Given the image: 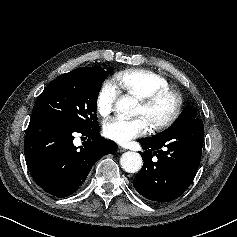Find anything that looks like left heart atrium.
I'll use <instances>...</instances> for the list:
<instances>
[{
  "label": "left heart atrium",
  "instance_id": "39dd6f15",
  "mask_svg": "<svg viewBox=\"0 0 237 237\" xmlns=\"http://www.w3.org/2000/svg\"><path fill=\"white\" fill-rule=\"evenodd\" d=\"M149 124L143 117L134 119L113 118L104 125V134L107 138L126 144L130 140L144 135L148 131Z\"/></svg>",
  "mask_w": 237,
  "mask_h": 237
}]
</instances>
